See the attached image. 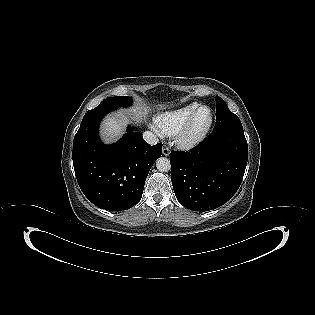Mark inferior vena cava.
I'll use <instances>...</instances> for the list:
<instances>
[{
	"instance_id": "inferior-vena-cava-1",
	"label": "inferior vena cava",
	"mask_w": 315,
	"mask_h": 315,
	"mask_svg": "<svg viewBox=\"0 0 315 315\" xmlns=\"http://www.w3.org/2000/svg\"><path fill=\"white\" fill-rule=\"evenodd\" d=\"M143 138L150 145H155L159 142V139L156 137V135L150 131H145L143 133Z\"/></svg>"
}]
</instances>
